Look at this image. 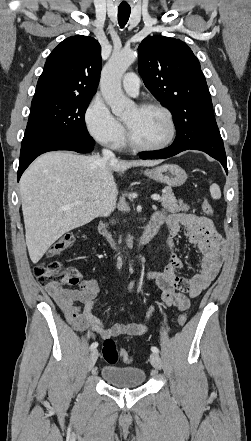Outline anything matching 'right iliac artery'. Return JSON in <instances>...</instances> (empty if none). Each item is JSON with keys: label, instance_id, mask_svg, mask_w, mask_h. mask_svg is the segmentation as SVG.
Returning <instances> with one entry per match:
<instances>
[{"label": "right iliac artery", "instance_id": "obj_1", "mask_svg": "<svg viewBox=\"0 0 251 441\" xmlns=\"http://www.w3.org/2000/svg\"><path fill=\"white\" fill-rule=\"evenodd\" d=\"M97 346H98V343H97V342L92 343L91 346H90V350H94V349H96Z\"/></svg>", "mask_w": 251, "mask_h": 441}]
</instances>
